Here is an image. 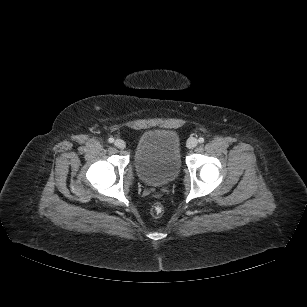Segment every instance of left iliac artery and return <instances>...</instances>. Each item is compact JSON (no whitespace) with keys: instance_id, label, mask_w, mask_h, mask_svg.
I'll list each match as a JSON object with an SVG mask.
<instances>
[{"instance_id":"obj_1","label":"left iliac artery","mask_w":307,"mask_h":307,"mask_svg":"<svg viewBox=\"0 0 307 307\" xmlns=\"http://www.w3.org/2000/svg\"><path fill=\"white\" fill-rule=\"evenodd\" d=\"M198 141H199V143H204V138H203V137H200V138L198 139Z\"/></svg>"}]
</instances>
